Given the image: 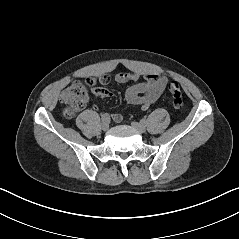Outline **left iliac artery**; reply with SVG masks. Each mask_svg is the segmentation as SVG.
Listing matches in <instances>:
<instances>
[{"label": "left iliac artery", "mask_w": 239, "mask_h": 239, "mask_svg": "<svg viewBox=\"0 0 239 239\" xmlns=\"http://www.w3.org/2000/svg\"><path fill=\"white\" fill-rule=\"evenodd\" d=\"M140 122H141L142 124H144V125L147 124V120H146V119H142Z\"/></svg>", "instance_id": "1"}]
</instances>
